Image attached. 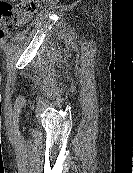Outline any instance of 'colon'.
<instances>
[{
	"label": "colon",
	"mask_w": 133,
	"mask_h": 173,
	"mask_svg": "<svg viewBox=\"0 0 133 173\" xmlns=\"http://www.w3.org/2000/svg\"><path fill=\"white\" fill-rule=\"evenodd\" d=\"M59 0H20L15 6L10 0H0V37L15 28L18 13L36 12Z\"/></svg>",
	"instance_id": "5ec220e1"
}]
</instances>
